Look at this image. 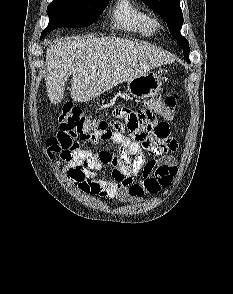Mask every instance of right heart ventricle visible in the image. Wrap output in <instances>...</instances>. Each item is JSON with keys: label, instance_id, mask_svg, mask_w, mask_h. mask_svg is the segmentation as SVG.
<instances>
[{"label": "right heart ventricle", "instance_id": "1", "mask_svg": "<svg viewBox=\"0 0 233 294\" xmlns=\"http://www.w3.org/2000/svg\"><path fill=\"white\" fill-rule=\"evenodd\" d=\"M111 19L116 28L128 33L149 37L154 32L150 15L132 0H116Z\"/></svg>", "mask_w": 233, "mask_h": 294}]
</instances>
